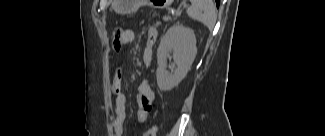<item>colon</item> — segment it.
I'll use <instances>...</instances> for the list:
<instances>
[{
	"mask_svg": "<svg viewBox=\"0 0 325 136\" xmlns=\"http://www.w3.org/2000/svg\"><path fill=\"white\" fill-rule=\"evenodd\" d=\"M124 33L125 29L116 28L113 34V45L115 50L120 51L124 47ZM157 127L153 126L149 130H147L143 136H156Z\"/></svg>",
	"mask_w": 325,
	"mask_h": 136,
	"instance_id": "obj_1",
	"label": "colon"
}]
</instances>
